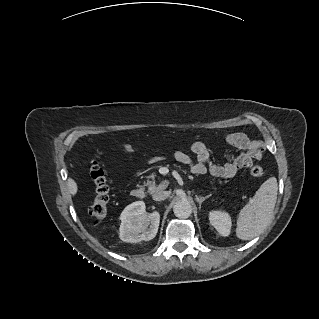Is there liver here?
<instances>
[{
    "mask_svg": "<svg viewBox=\"0 0 319 319\" xmlns=\"http://www.w3.org/2000/svg\"><path fill=\"white\" fill-rule=\"evenodd\" d=\"M69 184L71 193L75 195L77 193V184L73 180H70Z\"/></svg>",
    "mask_w": 319,
    "mask_h": 319,
    "instance_id": "1",
    "label": "liver"
}]
</instances>
